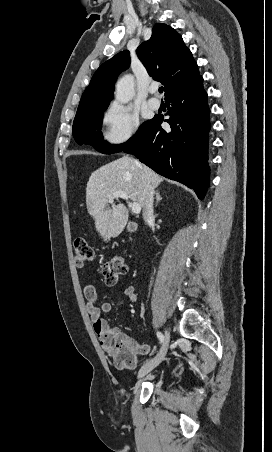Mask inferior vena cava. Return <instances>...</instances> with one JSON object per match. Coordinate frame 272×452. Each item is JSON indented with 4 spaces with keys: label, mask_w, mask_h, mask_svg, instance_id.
<instances>
[{
    "label": "inferior vena cava",
    "mask_w": 272,
    "mask_h": 452,
    "mask_svg": "<svg viewBox=\"0 0 272 452\" xmlns=\"http://www.w3.org/2000/svg\"><path fill=\"white\" fill-rule=\"evenodd\" d=\"M135 164L141 169L142 178H143V218L147 223L153 219L154 210H153V201H154V187L151 185L148 180L147 174L142 171L141 164L135 160Z\"/></svg>",
    "instance_id": "602c4592"
}]
</instances>
